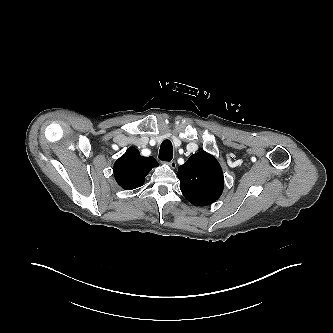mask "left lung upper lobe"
Returning a JSON list of instances; mask_svg holds the SVG:
<instances>
[{
  "label": "left lung upper lobe",
  "mask_w": 333,
  "mask_h": 333,
  "mask_svg": "<svg viewBox=\"0 0 333 333\" xmlns=\"http://www.w3.org/2000/svg\"><path fill=\"white\" fill-rule=\"evenodd\" d=\"M177 176L182 194L195 206L210 205L223 192L222 169L215 157L203 150L191 155Z\"/></svg>",
  "instance_id": "1"
}]
</instances>
